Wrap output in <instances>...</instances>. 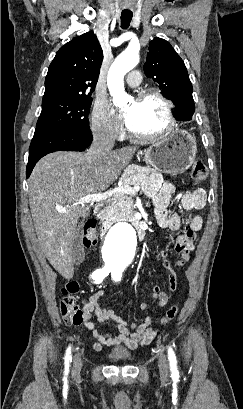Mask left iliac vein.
Returning <instances> with one entry per match:
<instances>
[{
    "label": "left iliac vein",
    "instance_id": "left-iliac-vein-1",
    "mask_svg": "<svg viewBox=\"0 0 243 409\" xmlns=\"http://www.w3.org/2000/svg\"><path fill=\"white\" fill-rule=\"evenodd\" d=\"M159 371L162 378H167L168 375V364L166 360V356L161 354L158 361Z\"/></svg>",
    "mask_w": 243,
    "mask_h": 409
}]
</instances>
